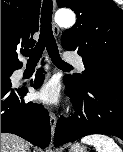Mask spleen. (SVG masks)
I'll use <instances>...</instances> for the list:
<instances>
[{
    "instance_id": "spleen-1",
    "label": "spleen",
    "mask_w": 123,
    "mask_h": 152,
    "mask_svg": "<svg viewBox=\"0 0 123 152\" xmlns=\"http://www.w3.org/2000/svg\"><path fill=\"white\" fill-rule=\"evenodd\" d=\"M81 142L87 145H93L96 152H122L121 148L112 138L102 134L85 136L81 139Z\"/></svg>"
}]
</instances>
